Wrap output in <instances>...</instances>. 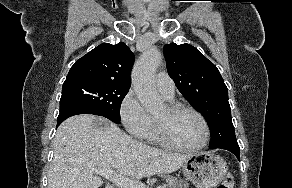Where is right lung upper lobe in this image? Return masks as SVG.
<instances>
[{
    "instance_id": "cb5924a9",
    "label": "right lung upper lobe",
    "mask_w": 292,
    "mask_h": 188,
    "mask_svg": "<svg viewBox=\"0 0 292 188\" xmlns=\"http://www.w3.org/2000/svg\"><path fill=\"white\" fill-rule=\"evenodd\" d=\"M133 61L134 54L125 43H103L77 60L65 81L90 79L130 87Z\"/></svg>"
}]
</instances>
